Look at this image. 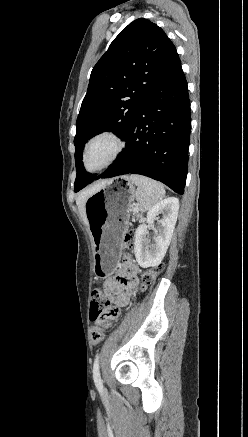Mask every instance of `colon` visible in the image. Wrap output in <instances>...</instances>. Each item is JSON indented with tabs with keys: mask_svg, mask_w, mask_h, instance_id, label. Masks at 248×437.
<instances>
[{
	"mask_svg": "<svg viewBox=\"0 0 248 437\" xmlns=\"http://www.w3.org/2000/svg\"><path fill=\"white\" fill-rule=\"evenodd\" d=\"M134 241L133 232H127L123 238V246L125 248H131ZM163 271V265H157L151 269L144 271L141 275L142 285L141 289L144 290L149 286L154 279ZM109 300L107 299L106 292L102 288H95L92 292L91 306H90V320L94 323V326L90 333V339L93 344H99L104 340L105 329L108 327V323H102L112 313Z\"/></svg>",
	"mask_w": 248,
	"mask_h": 437,
	"instance_id": "5ec220e1",
	"label": "colon"
}]
</instances>
